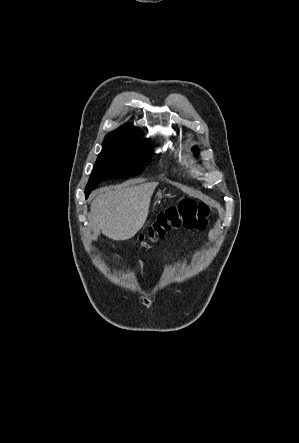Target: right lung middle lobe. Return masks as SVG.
<instances>
[{
    "label": "right lung middle lobe",
    "instance_id": "right-lung-middle-lobe-1",
    "mask_svg": "<svg viewBox=\"0 0 299 443\" xmlns=\"http://www.w3.org/2000/svg\"><path fill=\"white\" fill-rule=\"evenodd\" d=\"M142 135L106 138L85 189L86 198L102 181L139 175L149 164L151 145Z\"/></svg>",
    "mask_w": 299,
    "mask_h": 443
}]
</instances>
